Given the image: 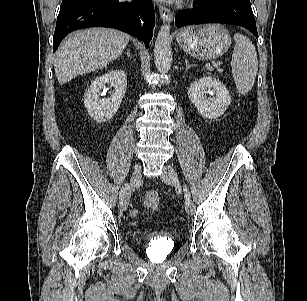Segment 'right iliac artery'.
Masks as SVG:
<instances>
[{
  "label": "right iliac artery",
  "mask_w": 307,
  "mask_h": 301,
  "mask_svg": "<svg viewBox=\"0 0 307 301\" xmlns=\"http://www.w3.org/2000/svg\"><path fill=\"white\" fill-rule=\"evenodd\" d=\"M130 185L128 183H126L120 191V199L123 198V196L125 195L126 191L129 189Z\"/></svg>",
  "instance_id": "1"
}]
</instances>
